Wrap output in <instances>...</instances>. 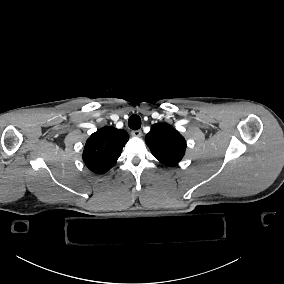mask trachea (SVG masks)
I'll return each instance as SVG.
<instances>
[{"mask_svg":"<svg viewBox=\"0 0 284 284\" xmlns=\"http://www.w3.org/2000/svg\"><path fill=\"white\" fill-rule=\"evenodd\" d=\"M128 126L132 129V130H138L141 127V119L138 115L133 114L130 116L129 120H128Z\"/></svg>","mask_w":284,"mask_h":284,"instance_id":"1","label":"trachea"}]
</instances>
